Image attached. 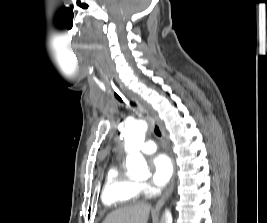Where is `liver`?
<instances>
[{"label":"liver","mask_w":267,"mask_h":223,"mask_svg":"<svg viewBox=\"0 0 267 223\" xmlns=\"http://www.w3.org/2000/svg\"><path fill=\"white\" fill-rule=\"evenodd\" d=\"M151 206L139 203L112 211L103 223H147Z\"/></svg>","instance_id":"1"}]
</instances>
